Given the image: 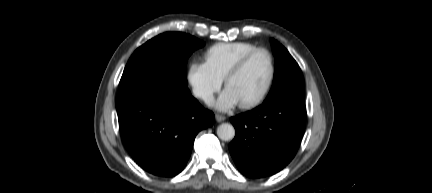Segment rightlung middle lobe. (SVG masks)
Listing matches in <instances>:
<instances>
[{
	"label": "right lung middle lobe",
	"instance_id": "dd1d6c3e",
	"mask_svg": "<svg viewBox=\"0 0 432 193\" xmlns=\"http://www.w3.org/2000/svg\"><path fill=\"white\" fill-rule=\"evenodd\" d=\"M204 42L180 32L160 34L140 46L129 59L119 93L142 84H159L177 93L189 92L186 64Z\"/></svg>",
	"mask_w": 432,
	"mask_h": 193
}]
</instances>
